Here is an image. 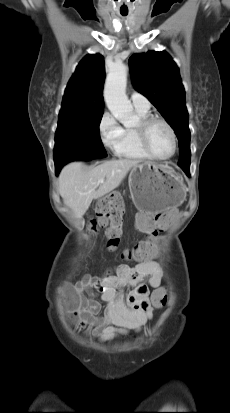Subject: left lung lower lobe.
Here are the masks:
<instances>
[{"label": "left lung lower lobe", "mask_w": 230, "mask_h": 413, "mask_svg": "<svg viewBox=\"0 0 230 413\" xmlns=\"http://www.w3.org/2000/svg\"><path fill=\"white\" fill-rule=\"evenodd\" d=\"M183 171L187 174L188 177H190L189 169H183Z\"/></svg>", "instance_id": "1"}]
</instances>
